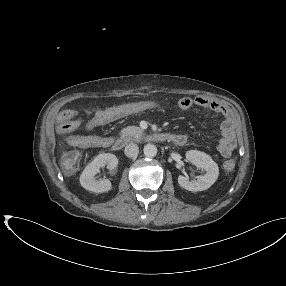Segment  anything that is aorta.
I'll return each mask as SVG.
<instances>
[{
    "instance_id": "aorta-1",
    "label": "aorta",
    "mask_w": 286,
    "mask_h": 286,
    "mask_svg": "<svg viewBox=\"0 0 286 286\" xmlns=\"http://www.w3.org/2000/svg\"><path fill=\"white\" fill-rule=\"evenodd\" d=\"M143 152L146 157L153 158L157 154V147L154 144H146Z\"/></svg>"
}]
</instances>
